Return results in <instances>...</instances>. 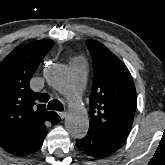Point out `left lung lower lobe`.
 Returning a JSON list of instances; mask_svg holds the SVG:
<instances>
[{"mask_svg":"<svg viewBox=\"0 0 165 165\" xmlns=\"http://www.w3.org/2000/svg\"><path fill=\"white\" fill-rule=\"evenodd\" d=\"M122 143L92 128H89L84 138L76 140V146L83 153L94 158H103L113 154L120 148Z\"/></svg>","mask_w":165,"mask_h":165,"instance_id":"0a47b994","label":"left lung lower lobe"}]
</instances>
